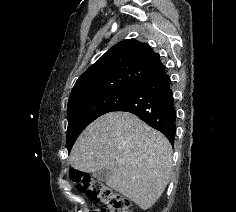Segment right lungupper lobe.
I'll list each match as a JSON object with an SVG mask.
<instances>
[{
	"instance_id": "cb5924a9",
	"label": "right lung upper lobe",
	"mask_w": 236,
	"mask_h": 212,
	"mask_svg": "<svg viewBox=\"0 0 236 212\" xmlns=\"http://www.w3.org/2000/svg\"><path fill=\"white\" fill-rule=\"evenodd\" d=\"M161 64L160 56L148 44L135 39L119 42L78 78L68 103L101 92L134 88Z\"/></svg>"
}]
</instances>
